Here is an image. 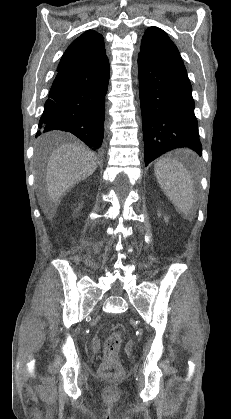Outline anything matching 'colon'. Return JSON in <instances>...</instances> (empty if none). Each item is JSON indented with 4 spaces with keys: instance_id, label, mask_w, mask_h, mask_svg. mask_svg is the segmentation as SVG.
<instances>
[{
    "instance_id": "obj_1",
    "label": "colon",
    "mask_w": 231,
    "mask_h": 419,
    "mask_svg": "<svg viewBox=\"0 0 231 419\" xmlns=\"http://www.w3.org/2000/svg\"><path fill=\"white\" fill-rule=\"evenodd\" d=\"M122 337L118 332L111 333L104 343V360L100 367V375L106 378L120 374L122 367L119 360V350Z\"/></svg>"
}]
</instances>
